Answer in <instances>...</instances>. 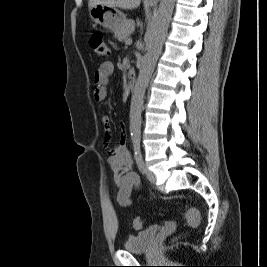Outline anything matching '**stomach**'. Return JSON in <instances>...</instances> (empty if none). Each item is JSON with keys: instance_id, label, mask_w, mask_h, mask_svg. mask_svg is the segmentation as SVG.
Listing matches in <instances>:
<instances>
[{"instance_id": "stomach-1", "label": "stomach", "mask_w": 267, "mask_h": 267, "mask_svg": "<svg viewBox=\"0 0 267 267\" xmlns=\"http://www.w3.org/2000/svg\"><path fill=\"white\" fill-rule=\"evenodd\" d=\"M89 15L96 24L117 33L127 21L126 16L116 8L95 5L89 9Z\"/></svg>"}]
</instances>
